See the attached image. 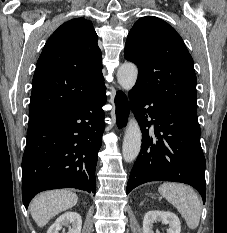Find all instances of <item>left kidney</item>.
Segmentation results:
<instances>
[{"instance_id":"1","label":"left kidney","mask_w":227,"mask_h":233,"mask_svg":"<svg viewBox=\"0 0 227 233\" xmlns=\"http://www.w3.org/2000/svg\"><path fill=\"white\" fill-rule=\"evenodd\" d=\"M157 221L169 224L167 233H180L181 223L177 215L172 212L149 211L145 214L143 220V233H154L153 225Z\"/></svg>"}]
</instances>
